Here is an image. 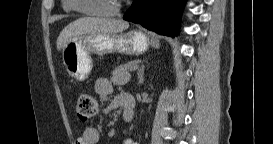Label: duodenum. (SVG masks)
I'll return each instance as SVG.
<instances>
[{
    "label": "duodenum",
    "mask_w": 273,
    "mask_h": 144,
    "mask_svg": "<svg viewBox=\"0 0 273 144\" xmlns=\"http://www.w3.org/2000/svg\"><path fill=\"white\" fill-rule=\"evenodd\" d=\"M118 103L123 109V119L131 121L134 116L135 99L129 94H120L118 96Z\"/></svg>",
    "instance_id": "410a0bca"
}]
</instances>
